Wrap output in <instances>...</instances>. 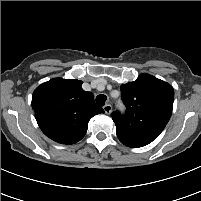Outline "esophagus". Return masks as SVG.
I'll list each match as a JSON object with an SVG mask.
<instances>
[{"label": "esophagus", "mask_w": 201, "mask_h": 201, "mask_svg": "<svg viewBox=\"0 0 201 201\" xmlns=\"http://www.w3.org/2000/svg\"><path fill=\"white\" fill-rule=\"evenodd\" d=\"M103 109H104L106 114H110L112 112V106L109 103L105 104Z\"/></svg>", "instance_id": "obj_1"}]
</instances>
